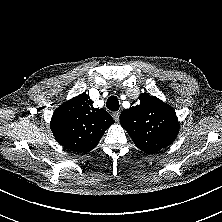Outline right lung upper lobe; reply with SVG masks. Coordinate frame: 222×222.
Returning a JSON list of instances; mask_svg holds the SVG:
<instances>
[{
    "label": "right lung upper lobe",
    "instance_id": "obj_1",
    "mask_svg": "<svg viewBox=\"0 0 222 222\" xmlns=\"http://www.w3.org/2000/svg\"><path fill=\"white\" fill-rule=\"evenodd\" d=\"M114 123L103 108H94L90 97L83 93L60 105L51 119L56 141L75 152L91 151Z\"/></svg>",
    "mask_w": 222,
    "mask_h": 222
}]
</instances>
